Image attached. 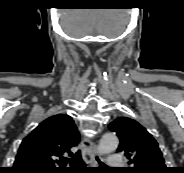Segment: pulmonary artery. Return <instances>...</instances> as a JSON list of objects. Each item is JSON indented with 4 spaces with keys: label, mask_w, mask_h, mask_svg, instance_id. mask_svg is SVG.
<instances>
[{
    "label": "pulmonary artery",
    "mask_w": 184,
    "mask_h": 173,
    "mask_svg": "<svg viewBox=\"0 0 184 173\" xmlns=\"http://www.w3.org/2000/svg\"><path fill=\"white\" fill-rule=\"evenodd\" d=\"M107 164L113 168H121L124 164L120 154H112L108 157Z\"/></svg>",
    "instance_id": "e3ab8cb5"
}]
</instances>
